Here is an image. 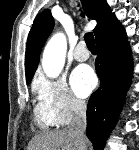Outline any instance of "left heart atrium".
Here are the masks:
<instances>
[{
  "label": "left heart atrium",
  "mask_w": 139,
  "mask_h": 150,
  "mask_svg": "<svg viewBox=\"0 0 139 150\" xmlns=\"http://www.w3.org/2000/svg\"><path fill=\"white\" fill-rule=\"evenodd\" d=\"M71 85L77 96L87 97L96 85V76L91 68L79 66L72 73Z\"/></svg>",
  "instance_id": "39dd6f15"
}]
</instances>
